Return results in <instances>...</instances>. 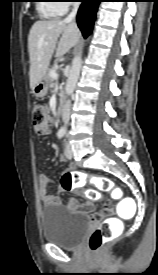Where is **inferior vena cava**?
<instances>
[{"label": "inferior vena cava", "instance_id": "obj_1", "mask_svg": "<svg viewBox=\"0 0 158 275\" xmlns=\"http://www.w3.org/2000/svg\"><path fill=\"white\" fill-rule=\"evenodd\" d=\"M79 8V4L78 3H75L74 4V7L72 9V12L64 19V22L65 23H70V22H73V20L75 19L76 17V14H77V10ZM70 108H71V102L70 100H68L64 107H63V110H62V119H63V122L65 124L68 123L69 121V116H70Z\"/></svg>", "mask_w": 158, "mask_h": 275}]
</instances>
